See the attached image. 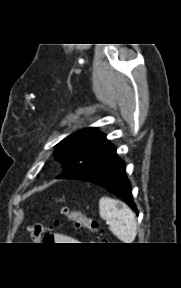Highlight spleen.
Returning <instances> with one entry per match:
<instances>
[{
	"mask_svg": "<svg viewBox=\"0 0 181 288\" xmlns=\"http://www.w3.org/2000/svg\"><path fill=\"white\" fill-rule=\"evenodd\" d=\"M100 216L109 222L112 233L124 243H132L137 234V223L132 210L123 202L110 197L99 200Z\"/></svg>",
	"mask_w": 181,
	"mask_h": 288,
	"instance_id": "1",
	"label": "spleen"
}]
</instances>
